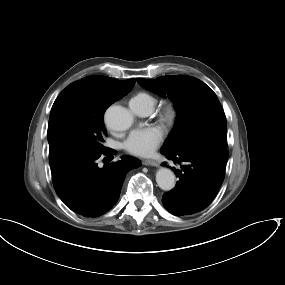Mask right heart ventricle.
Listing matches in <instances>:
<instances>
[{"label": "right heart ventricle", "instance_id": "right-heart-ventricle-1", "mask_svg": "<svg viewBox=\"0 0 285 285\" xmlns=\"http://www.w3.org/2000/svg\"><path fill=\"white\" fill-rule=\"evenodd\" d=\"M131 100H136L139 103L149 104L152 108L156 102L154 97L145 92L138 93Z\"/></svg>", "mask_w": 285, "mask_h": 285}]
</instances>
